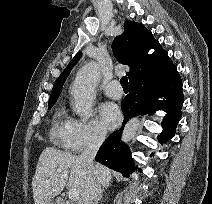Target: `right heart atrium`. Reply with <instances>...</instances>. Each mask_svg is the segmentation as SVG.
Listing matches in <instances>:
<instances>
[{
    "label": "right heart atrium",
    "instance_id": "1",
    "mask_svg": "<svg viewBox=\"0 0 212 204\" xmlns=\"http://www.w3.org/2000/svg\"><path fill=\"white\" fill-rule=\"evenodd\" d=\"M105 137L106 131L97 120H72L67 147L74 152H80L87 147L99 145Z\"/></svg>",
    "mask_w": 212,
    "mask_h": 204
}]
</instances>
